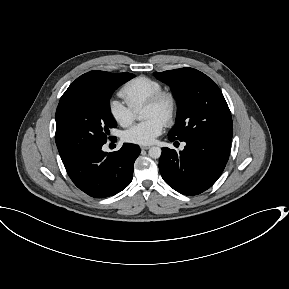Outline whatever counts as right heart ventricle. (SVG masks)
Segmentation results:
<instances>
[{"label": "right heart ventricle", "instance_id": "e07e8e85", "mask_svg": "<svg viewBox=\"0 0 289 289\" xmlns=\"http://www.w3.org/2000/svg\"><path fill=\"white\" fill-rule=\"evenodd\" d=\"M161 90L159 81L139 76L127 82L120 90V95L131 108L138 111L150 97Z\"/></svg>", "mask_w": 289, "mask_h": 289}]
</instances>
